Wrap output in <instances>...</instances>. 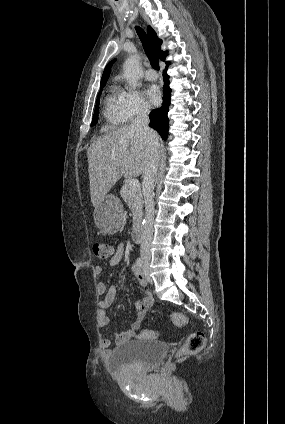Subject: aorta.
<instances>
[{
    "label": "aorta",
    "mask_w": 285,
    "mask_h": 424,
    "mask_svg": "<svg viewBox=\"0 0 285 424\" xmlns=\"http://www.w3.org/2000/svg\"><path fill=\"white\" fill-rule=\"evenodd\" d=\"M124 78L127 80L128 85L135 89L138 86L140 74V57L138 55H131L124 63Z\"/></svg>",
    "instance_id": "1"
}]
</instances>
